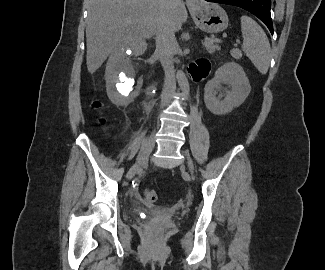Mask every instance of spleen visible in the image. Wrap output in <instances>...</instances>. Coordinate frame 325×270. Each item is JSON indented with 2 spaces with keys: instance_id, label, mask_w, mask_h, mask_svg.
Masks as SVG:
<instances>
[{
  "instance_id": "3e777b00",
  "label": "spleen",
  "mask_w": 325,
  "mask_h": 270,
  "mask_svg": "<svg viewBox=\"0 0 325 270\" xmlns=\"http://www.w3.org/2000/svg\"><path fill=\"white\" fill-rule=\"evenodd\" d=\"M242 50L262 74H266L271 60V48L266 33L251 17L241 16Z\"/></svg>"
}]
</instances>
